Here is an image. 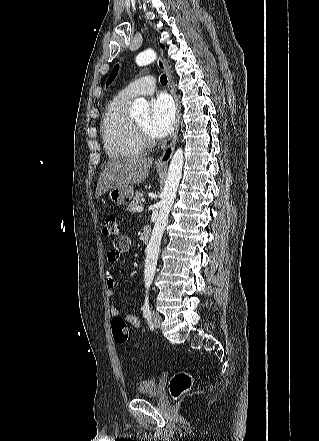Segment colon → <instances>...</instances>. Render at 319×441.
<instances>
[{
    "label": "colon",
    "mask_w": 319,
    "mask_h": 441,
    "mask_svg": "<svg viewBox=\"0 0 319 441\" xmlns=\"http://www.w3.org/2000/svg\"><path fill=\"white\" fill-rule=\"evenodd\" d=\"M102 233L105 237H116L120 233V225L115 215L105 218ZM111 329L113 339L117 344H124L128 340L127 322L123 317L116 316L112 319ZM192 386V376L186 371L175 373L169 382V390L174 398H180Z\"/></svg>",
    "instance_id": "1"
}]
</instances>
